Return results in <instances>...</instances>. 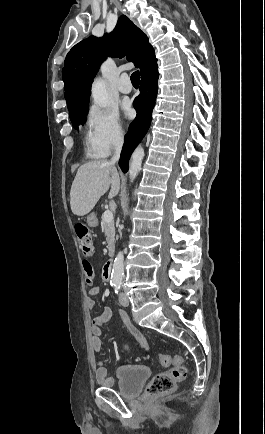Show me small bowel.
<instances>
[{"label": "small bowel", "instance_id": "c3829d8e", "mask_svg": "<svg viewBox=\"0 0 265 434\" xmlns=\"http://www.w3.org/2000/svg\"><path fill=\"white\" fill-rule=\"evenodd\" d=\"M100 293L99 286H93L88 291L86 297V306L89 310H92L95 306V297ZM120 316L125 323L129 333L131 334L133 341L140 345L141 347H146L147 342L145 338L142 336L141 332L137 327H135L130 319L127 317L128 315L124 312L120 313ZM112 317V311L110 308L105 307L100 315L94 317L92 319L91 332H92V346L95 352L99 353L102 349V335H103V326L110 321ZM165 366V365H164ZM95 380L99 383L101 387H112L113 380L112 378H107V369L104 366V363L101 359H97L95 361V370H94Z\"/></svg>", "mask_w": 265, "mask_h": 434}]
</instances>
